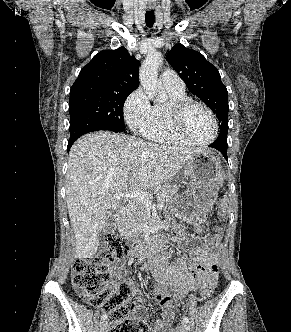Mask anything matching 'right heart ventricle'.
Wrapping results in <instances>:
<instances>
[{"mask_svg":"<svg viewBox=\"0 0 291 332\" xmlns=\"http://www.w3.org/2000/svg\"><path fill=\"white\" fill-rule=\"evenodd\" d=\"M167 91L170 101L166 104H155L152 106L150 124L140 132L146 139L157 143L190 146L192 143L185 140L174 130L169 113L172 104L186 100L188 97L185 92Z\"/></svg>","mask_w":291,"mask_h":332,"instance_id":"right-heart-ventricle-1","label":"right heart ventricle"}]
</instances>
